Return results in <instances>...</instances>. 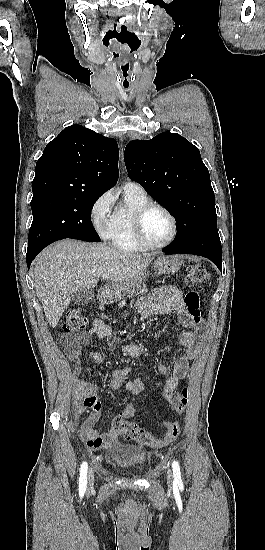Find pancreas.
<instances>
[{"instance_id":"obj_1","label":"pancreas","mask_w":265,"mask_h":550,"mask_svg":"<svg viewBox=\"0 0 265 550\" xmlns=\"http://www.w3.org/2000/svg\"><path fill=\"white\" fill-rule=\"evenodd\" d=\"M146 292H147V287H146V286H144V285H138V286L136 287V289H132V290L130 291V295H131V296H132V295L137 296L138 294H144V293H146ZM125 303H126V301H125V300H122V301L120 302L119 306H124Z\"/></svg>"}]
</instances>
